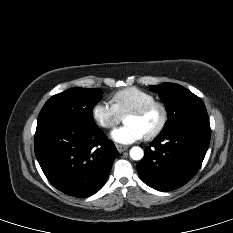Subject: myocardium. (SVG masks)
<instances>
[{
  "label": "myocardium",
  "instance_id": "myocardium-1",
  "mask_svg": "<svg viewBox=\"0 0 233 233\" xmlns=\"http://www.w3.org/2000/svg\"><path fill=\"white\" fill-rule=\"evenodd\" d=\"M153 108H158L160 110L161 119H160L158 126L153 131H151L150 133L145 135V138L148 140L156 138L165 129L167 121H168V109H167L166 105L161 101L154 100V101L148 102V103H146L138 108H135L126 114V116L127 115L142 116V115L146 114L147 112H149L150 110H152Z\"/></svg>",
  "mask_w": 233,
  "mask_h": 233
}]
</instances>
